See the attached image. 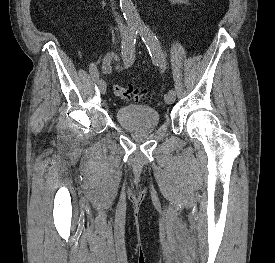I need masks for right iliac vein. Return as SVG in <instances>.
<instances>
[{"label": "right iliac vein", "mask_w": 275, "mask_h": 263, "mask_svg": "<svg viewBox=\"0 0 275 263\" xmlns=\"http://www.w3.org/2000/svg\"><path fill=\"white\" fill-rule=\"evenodd\" d=\"M99 89L102 94H105L106 92V82L104 80L98 81Z\"/></svg>", "instance_id": "63e3f726"}]
</instances>
